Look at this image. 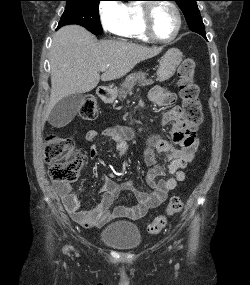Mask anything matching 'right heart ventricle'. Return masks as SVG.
<instances>
[{
    "instance_id": "1",
    "label": "right heart ventricle",
    "mask_w": 250,
    "mask_h": 285,
    "mask_svg": "<svg viewBox=\"0 0 250 285\" xmlns=\"http://www.w3.org/2000/svg\"><path fill=\"white\" fill-rule=\"evenodd\" d=\"M119 35L142 42H148L150 40L143 31L142 4L129 3L125 5L124 25Z\"/></svg>"
}]
</instances>
